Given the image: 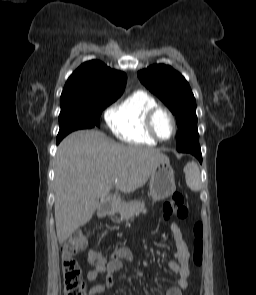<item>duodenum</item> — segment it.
I'll list each match as a JSON object with an SVG mask.
<instances>
[{
	"instance_id": "410a0bca",
	"label": "duodenum",
	"mask_w": 256,
	"mask_h": 295,
	"mask_svg": "<svg viewBox=\"0 0 256 295\" xmlns=\"http://www.w3.org/2000/svg\"><path fill=\"white\" fill-rule=\"evenodd\" d=\"M115 203L107 201L99 205V214L101 217L109 216L113 213Z\"/></svg>"
}]
</instances>
